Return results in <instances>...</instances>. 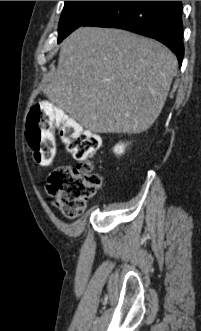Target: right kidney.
<instances>
[{
	"label": "right kidney",
	"instance_id": "right-kidney-1",
	"mask_svg": "<svg viewBox=\"0 0 201 331\" xmlns=\"http://www.w3.org/2000/svg\"><path fill=\"white\" fill-rule=\"evenodd\" d=\"M126 146H127V145L124 144V143H118V144H116V145L114 146V148H113V152H114L115 154L121 155V154L124 153Z\"/></svg>",
	"mask_w": 201,
	"mask_h": 331
}]
</instances>
